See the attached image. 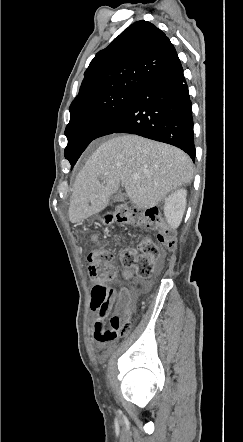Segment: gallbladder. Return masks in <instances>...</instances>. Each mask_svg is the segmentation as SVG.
I'll use <instances>...</instances> for the list:
<instances>
[{"instance_id":"bac80fb5","label":"gallbladder","mask_w":243,"mask_h":442,"mask_svg":"<svg viewBox=\"0 0 243 442\" xmlns=\"http://www.w3.org/2000/svg\"><path fill=\"white\" fill-rule=\"evenodd\" d=\"M126 198V194L125 193H121L118 192L116 194L113 195L112 199L114 201H123Z\"/></svg>"}]
</instances>
